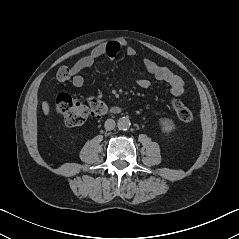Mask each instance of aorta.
Returning a JSON list of instances; mask_svg holds the SVG:
<instances>
[{
  "label": "aorta",
  "mask_w": 239,
  "mask_h": 239,
  "mask_svg": "<svg viewBox=\"0 0 239 239\" xmlns=\"http://www.w3.org/2000/svg\"><path fill=\"white\" fill-rule=\"evenodd\" d=\"M130 119L128 117H122L118 120L117 126L120 130H127L130 128Z\"/></svg>",
  "instance_id": "aorta-1"
}]
</instances>
